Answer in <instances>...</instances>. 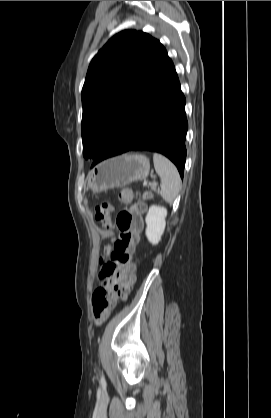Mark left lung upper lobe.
Returning a JSON list of instances; mask_svg holds the SVG:
<instances>
[{"instance_id":"obj_1","label":"left lung upper lobe","mask_w":271,"mask_h":418,"mask_svg":"<svg viewBox=\"0 0 271 418\" xmlns=\"http://www.w3.org/2000/svg\"><path fill=\"white\" fill-rule=\"evenodd\" d=\"M170 60L155 38L136 30L113 36L92 59L82 89L83 156L95 159Z\"/></svg>"}]
</instances>
